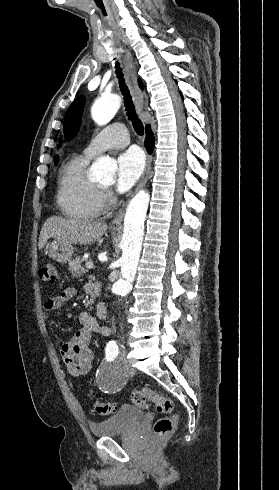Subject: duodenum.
<instances>
[{"instance_id":"obj_1","label":"duodenum","mask_w":279,"mask_h":490,"mask_svg":"<svg viewBox=\"0 0 279 490\" xmlns=\"http://www.w3.org/2000/svg\"><path fill=\"white\" fill-rule=\"evenodd\" d=\"M100 292V285L99 284H92L91 289H90V295L95 297L99 294Z\"/></svg>"}]
</instances>
